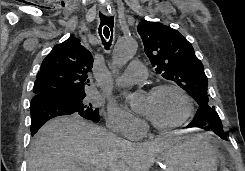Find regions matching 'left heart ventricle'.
I'll return each instance as SVG.
<instances>
[{
	"mask_svg": "<svg viewBox=\"0 0 245 171\" xmlns=\"http://www.w3.org/2000/svg\"><path fill=\"white\" fill-rule=\"evenodd\" d=\"M142 108L148 112L150 120L160 125L178 121L186 111V102L175 90H164L153 95H145Z\"/></svg>",
	"mask_w": 245,
	"mask_h": 171,
	"instance_id": "b2bd125f",
	"label": "left heart ventricle"
}]
</instances>
